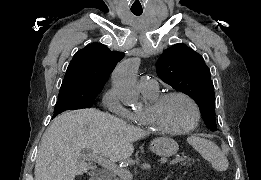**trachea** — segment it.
<instances>
[{
	"mask_svg": "<svg viewBox=\"0 0 261 180\" xmlns=\"http://www.w3.org/2000/svg\"><path fill=\"white\" fill-rule=\"evenodd\" d=\"M132 13H133L134 15H136L137 17H139V16L142 14V10H140V11L132 10Z\"/></svg>",
	"mask_w": 261,
	"mask_h": 180,
	"instance_id": "trachea-1",
	"label": "trachea"
}]
</instances>
